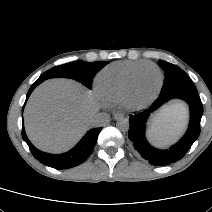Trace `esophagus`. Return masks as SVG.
Listing matches in <instances>:
<instances>
[{"label": "esophagus", "mask_w": 212, "mask_h": 212, "mask_svg": "<svg viewBox=\"0 0 212 212\" xmlns=\"http://www.w3.org/2000/svg\"><path fill=\"white\" fill-rule=\"evenodd\" d=\"M123 117H124V115H123L122 113H119V112L115 113L114 116H113V118H114L115 120H120V119H122Z\"/></svg>", "instance_id": "esophagus-1"}]
</instances>
